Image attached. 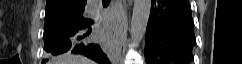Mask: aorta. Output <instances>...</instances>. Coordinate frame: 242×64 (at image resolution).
<instances>
[{"mask_svg": "<svg viewBox=\"0 0 242 64\" xmlns=\"http://www.w3.org/2000/svg\"><path fill=\"white\" fill-rule=\"evenodd\" d=\"M150 10L151 0H134L131 40L135 44L139 43L145 36Z\"/></svg>", "mask_w": 242, "mask_h": 64, "instance_id": "obj_1", "label": "aorta"}]
</instances>
